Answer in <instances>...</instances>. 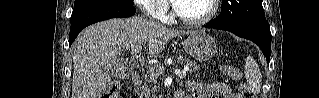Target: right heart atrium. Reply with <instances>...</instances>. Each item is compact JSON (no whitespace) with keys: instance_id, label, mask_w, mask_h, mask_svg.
Masks as SVG:
<instances>
[{"instance_id":"1","label":"right heart atrium","mask_w":319,"mask_h":98,"mask_svg":"<svg viewBox=\"0 0 319 98\" xmlns=\"http://www.w3.org/2000/svg\"><path fill=\"white\" fill-rule=\"evenodd\" d=\"M136 4L145 11V13L154 19H159L168 14V6L164 0H138Z\"/></svg>"}]
</instances>
